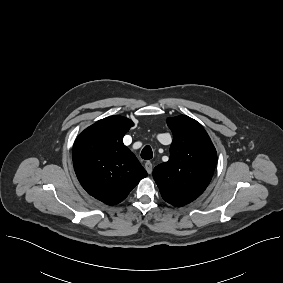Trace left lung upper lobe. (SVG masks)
I'll return each instance as SVG.
<instances>
[{"label": "left lung upper lobe", "mask_w": 283, "mask_h": 283, "mask_svg": "<svg viewBox=\"0 0 283 283\" xmlns=\"http://www.w3.org/2000/svg\"><path fill=\"white\" fill-rule=\"evenodd\" d=\"M167 121L173 133L170 157L154 168L153 178L166 202L184 206L199 197L208 186L217 163V153L196 120L180 115Z\"/></svg>", "instance_id": "5c2ea615"}]
</instances>
